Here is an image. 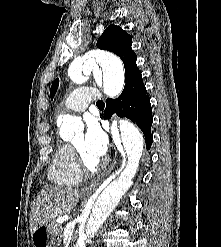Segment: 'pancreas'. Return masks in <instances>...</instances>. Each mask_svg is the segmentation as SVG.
Segmentation results:
<instances>
[{
	"label": "pancreas",
	"instance_id": "cf45deb5",
	"mask_svg": "<svg viewBox=\"0 0 221 247\" xmlns=\"http://www.w3.org/2000/svg\"><path fill=\"white\" fill-rule=\"evenodd\" d=\"M52 229H53L54 236L57 237L58 241H61L64 226L62 224H57V223L52 222Z\"/></svg>",
	"mask_w": 221,
	"mask_h": 247
}]
</instances>
